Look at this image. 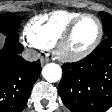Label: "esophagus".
Masks as SVG:
<instances>
[{
  "mask_svg": "<svg viewBox=\"0 0 112 112\" xmlns=\"http://www.w3.org/2000/svg\"><path fill=\"white\" fill-rule=\"evenodd\" d=\"M47 61H48V59L41 58V65H43V64L46 63Z\"/></svg>",
  "mask_w": 112,
  "mask_h": 112,
  "instance_id": "obj_1",
  "label": "esophagus"
}]
</instances>
